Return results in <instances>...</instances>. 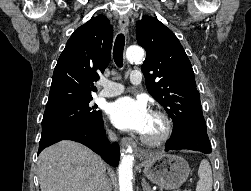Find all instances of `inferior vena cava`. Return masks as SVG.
Segmentation results:
<instances>
[{
    "label": "inferior vena cava",
    "instance_id": "602c4592",
    "mask_svg": "<svg viewBox=\"0 0 251 191\" xmlns=\"http://www.w3.org/2000/svg\"><path fill=\"white\" fill-rule=\"evenodd\" d=\"M108 137L109 139H116L115 133H112V131H108ZM101 191H111V185H109L106 177H103V181L101 183Z\"/></svg>",
    "mask_w": 251,
    "mask_h": 191
}]
</instances>
